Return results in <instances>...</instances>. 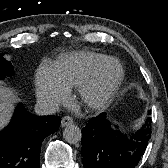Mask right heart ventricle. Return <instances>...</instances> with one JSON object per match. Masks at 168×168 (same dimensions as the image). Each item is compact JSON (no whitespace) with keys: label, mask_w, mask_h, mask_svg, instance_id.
<instances>
[{"label":"right heart ventricle","mask_w":168,"mask_h":168,"mask_svg":"<svg viewBox=\"0 0 168 168\" xmlns=\"http://www.w3.org/2000/svg\"><path fill=\"white\" fill-rule=\"evenodd\" d=\"M104 54L78 51L65 54L53 66L52 71L58 82L67 90L78 87L102 61Z\"/></svg>","instance_id":"right-heart-ventricle-1"}]
</instances>
